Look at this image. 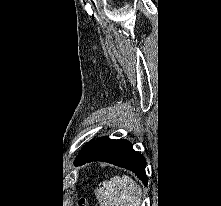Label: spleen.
I'll use <instances>...</instances> for the list:
<instances>
[{
  "instance_id": "3e777b00",
  "label": "spleen",
  "mask_w": 221,
  "mask_h": 206,
  "mask_svg": "<svg viewBox=\"0 0 221 206\" xmlns=\"http://www.w3.org/2000/svg\"><path fill=\"white\" fill-rule=\"evenodd\" d=\"M100 206H140L141 188L130 177L115 176L97 194Z\"/></svg>"
}]
</instances>
